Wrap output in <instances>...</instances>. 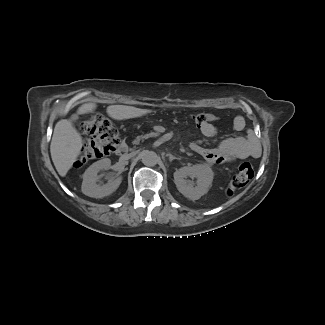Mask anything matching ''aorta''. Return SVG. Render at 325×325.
I'll use <instances>...</instances> for the list:
<instances>
[{"instance_id": "762f6f07", "label": "aorta", "mask_w": 325, "mask_h": 325, "mask_svg": "<svg viewBox=\"0 0 325 325\" xmlns=\"http://www.w3.org/2000/svg\"><path fill=\"white\" fill-rule=\"evenodd\" d=\"M141 159H142V163L145 166H155L158 162V155L153 152V151H149V150H144L141 153Z\"/></svg>"}]
</instances>
